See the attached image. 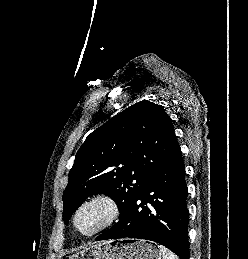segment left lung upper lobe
Listing matches in <instances>:
<instances>
[{
    "label": "left lung upper lobe",
    "instance_id": "5c2ea615",
    "mask_svg": "<svg viewBox=\"0 0 248 259\" xmlns=\"http://www.w3.org/2000/svg\"><path fill=\"white\" fill-rule=\"evenodd\" d=\"M178 149L162 106L141 101L125 109L89 134L78 150L62 197L64 223L94 193L111 197L121 218Z\"/></svg>",
    "mask_w": 248,
    "mask_h": 259
}]
</instances>
